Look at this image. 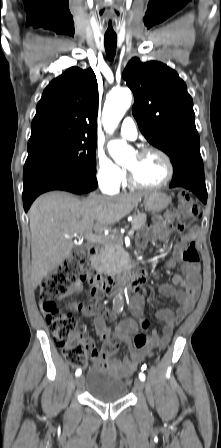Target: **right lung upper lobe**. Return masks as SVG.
I'll return each instance as SVG.
<instances>
[{"label":"right lung upper lobe","mask_w":221,"mask_h":448,"mask_svg":"<svg viewBox=\"0 0 221 448\" xmlns=\"http://www.w3.org/2000/svg\"><path fill=\"white\" fill-rule=\"evenodd\" d=\"M97 114L98 85L93 70L72 67L45 88L28 148L64 139L97 138Z\"/></svg>","instance_id":"right-lung-upper-lobe-1"}]
</instances>
